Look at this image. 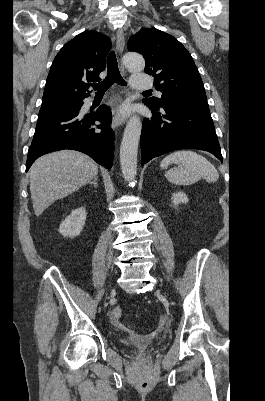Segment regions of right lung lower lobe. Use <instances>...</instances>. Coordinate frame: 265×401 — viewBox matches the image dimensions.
Segmentation results:
<instances>
[{
	"instance_id": "right-lung-lower-lobe-1",
	"label": "right lung lower lobe",
	"mask_w": 265,
	"mask_h": 401,
	"mask_svg": "<svg viewBox=\"0 0 265 401\" xmlns=\"http://www.w3.org/2000/svg\"><path fill=\"white\" fill-rule=\"evenodd\" d=\"M110 124L111 110L105 105L83 117L79 112L40 116L29 147L26 171L38 157L62 149L81 151L110 169L114 159V132Z\"/></svg>"
}]
</instances>
